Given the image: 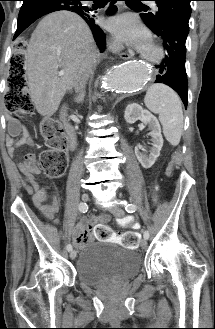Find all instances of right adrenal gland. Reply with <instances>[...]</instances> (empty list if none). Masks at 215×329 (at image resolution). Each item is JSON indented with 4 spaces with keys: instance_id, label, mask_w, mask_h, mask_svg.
I'll list each match as a JSON object with an SVG mask.
<instances>
[{
    "instance_id": "1",
    "label": "right adrenal gland",
    "mask_w": 215,
    "mask_h": 329,
    "mask_svg": "<svg viewBox=\"0 0 215 329\" xmlns=\"http://www.w3.org/2000/svg\"><path fill=\"white\" fill-rule=\"evenodd\" d=\"M84 97H85V91L83 89L79 94L75 95L74 101L76 103H83Z\"/></svg>"
}]
</instances>
